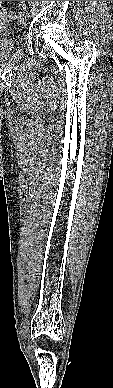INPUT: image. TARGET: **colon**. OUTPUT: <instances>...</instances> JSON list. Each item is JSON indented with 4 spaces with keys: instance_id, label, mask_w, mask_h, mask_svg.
<instances>
[{
    "instance_id": "5ec220e1",
    "label": "colon",
    "mask_w": 113,
    "mask_h": 388,
    "mask_svg": "<svg viewBox=\"0 0 113 388\" xmlns=\"http://www.w3.org/2000/svg\"><path fill=\"white\" fill-rule=\"evenodd\" d=\"M6 18L12 20L14 18V14H9Z\"/></svg>"
}]
</instances>
